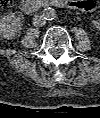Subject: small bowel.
<instances>
[{
    "mask_svg": "<svg viewBox=\"0 0 100 118\" xmlns=\"http://www.w3.org/2000/svg\"><path fill=\"white\" fill-rule=\"evenodd\" d=\"M87 2L88 1H86V0H74L73 1V5L79 7L81 9H83V10H86V11H93V10L86 9L84 6H81L82 4H85Z\"/></svg>",
    "mask_w": 100,
    "mask_h": 118,
    "instance_id": "1",
    "label": "small bowel"
}]
</instances>
